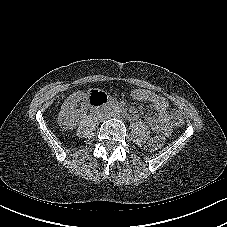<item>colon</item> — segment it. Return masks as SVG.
Wrapping results in <instances>:
<instances>
[{"label": "colon", "instance_id": "1", "mask_svg": "<svg viewBox=\"0 0 227 227\" xmlns=\"http://www.w3.org/2000/svg\"><path fill=\"white\" fill-rule=\"evenodd\" d=\"M103 95H104V93H102L98 90H92L90 92V100L95 97H99V96H103ZM170 119H171L172 123L176 126L181 125L182 121H183L182 114L177 109L171 110ZM164 142H165L164 136L162 134H156L149 140V142L147 144V150L151 151V152L156 151L163 146Z\"/></svg>", "mask_w": 227, "mask_h": 227}]
</instances>
